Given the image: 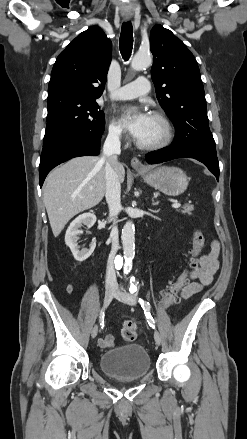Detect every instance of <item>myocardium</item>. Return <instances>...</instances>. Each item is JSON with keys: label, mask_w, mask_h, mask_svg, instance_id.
<instances>
[{"label": "myocardium", "mask_w": 247, "mask_h": 439, "mask_svg": "<svg viewBox=\"0 0 247 439\" xmlns=\"http://www.w3.org/2000/svg\"><path fill=\"white\" fill-rule=\"evenodd\" d=\"M151 116L156 118L158 121H160V123L163 126L164 135L162 139L151 144L141 143L139 140H137L136 145L143 150H148V151L160 150L169 146L173 141L174 128L170 119L164 113L160 111H153L151 113Z\"/></svg>", "instance_id": "f54148a6"}]
</instances>
